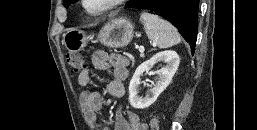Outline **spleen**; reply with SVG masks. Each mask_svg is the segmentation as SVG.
Segmentation results:
<instances>
[{
    "label": "spleen",
    "instance_id": "3e777b00",
    "mask_svg": "<svg viewBox=\"0 0 257 130\" xmlns=\"http://www.w3.org/2000/svg\"><path fill=\"white\" fill-rule=\"evenodd\" d=\"M140 19L148 38L159 48H169L181 42L177 29L158 15L142 12Z\"/></svg>",
    "mask_w": 257,
    "mask_h": 130
}]
</instances>
